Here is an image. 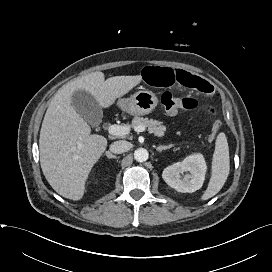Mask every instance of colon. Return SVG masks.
I'll return each instance as SVG.
<instances>
[{
	"mask_svg": "<svg viewBox=\"0 0 272 272\" xmlns=\"http://www.w3.org/2000/svg\"><path fill=\"white\" fill-rule=\"evenodd\" d=\"M161 102L165 110L171 114H175L178 112H187L199 107L198 102L195 99L191 97L177 96L170 92H165L162 94ZM200 108L211 115L215 114V110L212 107L202 106ZM220 126H221L220 121L215 120L212 125L211 132L209 134L210 140H213L216 137V134L218 133Z\"/></svg>",
	"mask_w": 272,
	"mask_h": 272,
	"instance_id": "5ec220e1",
	"label": "colon"
}]
</instances>
